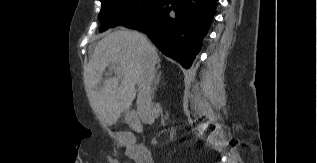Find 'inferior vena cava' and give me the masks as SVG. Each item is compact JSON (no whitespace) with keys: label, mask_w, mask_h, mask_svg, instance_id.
<instances>
[{"label":"inferior vena cava","mask_w":317,"mask_h":163,"mask_svg":"<svg viewBox=\"0 0 317 163\" xmlns=\"http://www.w3.org/2000/svg\"><path fill=\"white\" fill-rule=\"evenodd\" d=\"M155 76V65L150 60L147 61L138 83L137 110L143 122L152 117V83Z\"/></svg>","instance_id":"obj_1"}]
</instances>
